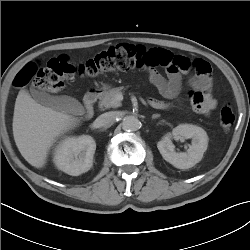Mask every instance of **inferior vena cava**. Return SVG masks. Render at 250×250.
Returning <instances> with one entry per match:
<instances>
[{"instance_id":"1","label":"inferior vena cava","mask_w":250,"mask_h":250,"mask_svg":"<svg viewBox=\"0 0 250 250\" xmlns=\"http://www.w3.org/2000/svg\"><path fill=\"white\" fill-rule=\"evenodd\" d=\"M115 117V112L103 113L96 118V120L94 121V126L96 128L106 127L114 121Z\"/></svg>"}]
</instances>
